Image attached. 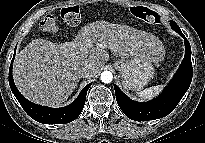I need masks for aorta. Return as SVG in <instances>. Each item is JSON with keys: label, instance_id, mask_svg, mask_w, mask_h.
I'll return each mask as SVG.
<instances>
[{"label": "aorta", "instance_id": "762f6f07", "mask_svg": "<svg viewBox=\"0 0 205 143\" xmlns=\"http://www.w3.org/2000/svg\"><path fill=\"white\" fill-rule=\"evenodd\" d=\"M100 79L103 83H111L113 80V75L110 71H103L101 73Z\"/></svg>", "mask_w": 205, "mask_h": 143}]
</instances>
